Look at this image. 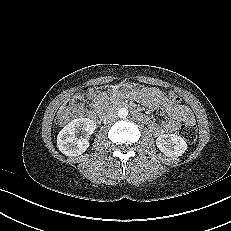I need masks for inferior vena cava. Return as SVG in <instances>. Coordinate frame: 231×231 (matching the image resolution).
I'll return each instance as SVG.
<instances>
[{"label": "inferior vena cava", "mask_w": 231, "mask_h": 231, "mask_svg": "<svg viewBox=\"0 0 231 231\" xmlns=\"http://www.w3.org/2000/svg\"><path fill=\"white\" fill-rule=\"evenodd\" d=\"M117 113L113 110H109L103 114L102 119L104 124L112 123L117 120Z\"/></svg>", "instance_id": "obj_1"}]
</instances>
